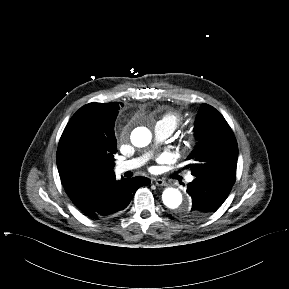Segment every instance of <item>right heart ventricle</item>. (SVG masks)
<instances>
[{
  "instance_id": "e07e8e85",
  "label": "right heart ventricle",
  "mask_w": 289,
  "mask_h": 289,
  "mask_svg": "<svg viewBox=\"0 0 289 289\" xmlns=\"http://www.w3.org/2000/svg\"><path fill=\"white\" fill-rule=\"evenodd\" d=\"M160 121L167 123L173 130L182 122V115L173 111L163 115Z\"/></svg>"
}]
</instances>
